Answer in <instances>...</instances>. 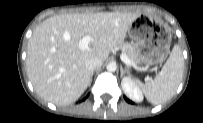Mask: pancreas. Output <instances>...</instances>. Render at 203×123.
Here are the masks:
<instances>
[{"instance_id": "cf45deb5", "label": "pancreas", "mask_w": 203, "mask_h": 123, "mask_svg": "<svg viewBox=\"0 0 203 123\" xmlns=\"http://www.w3.org/2000/svg\"><path fill=\"white\" fill-rule=\"evenodd\" d=\"M131 46L129 44L125 45H121V50L123 52V54L127 57V58H131L133 56L134 58V61L135 62H138V59H137V55H136V51L133 49V51H131Z\"/></svg>"}]
</instances>
